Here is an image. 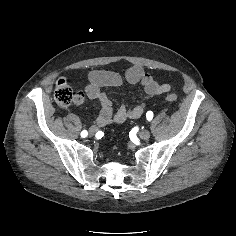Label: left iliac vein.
Instances as JSON below:
<instances>
[{
    "label": "left iliac vein",
    "mask_w": 236,
    "mask_h": 236,
    "mask_svg": "<svg viewBox=\"0 0 236 236\" xmlns=\"http://www.w3.org/2000/svg\"><path fill=\"white\" fill-rule=\"evenodd\" d=\"M139 137L142 140H148L150 138V132L148 130H141L139 132Z\"/></svg>",
    "instance_id": "obj_1"
}]
</instances>
